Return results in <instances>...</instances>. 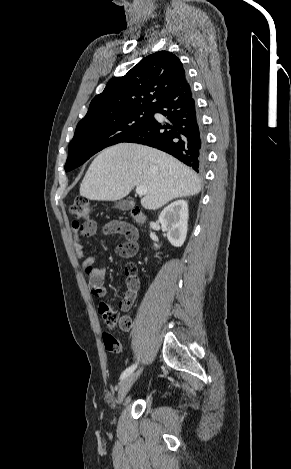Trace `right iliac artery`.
Segmentation results:
<instances>
[{
    "instance_id": "right-iliac-artery-1",
    "label": "right iliac artery",
    "mask_w": 291,
    "mask_h": 469,
    "mask_svg": "<svg viewBox=\"0 0 291 469\" xmlns=\"http://www.w3.org/2000/svg\"><path fill=\"white\" fill-rule=\"evenodd\" d=\"M136 367H137V364H133L130 367H128L126 370H124L120 376V380H123L127 376H129L135 370Z\"/></svg>"
}]
</instances>
